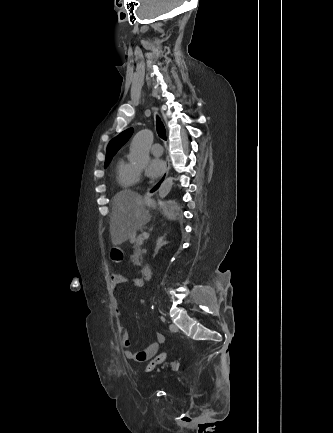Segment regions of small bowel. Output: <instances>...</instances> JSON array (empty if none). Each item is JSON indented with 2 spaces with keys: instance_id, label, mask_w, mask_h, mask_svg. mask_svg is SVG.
Instances as JSON below:
<instances>
[{
  "instance_id": "c3829d8e",
  "label": "small bowel",
  "mask_w": 333,
  "mask_h": 433,
  "mask_svg": "<svg viewBox=\"0 0 333 433\" xmlns=\"http://www.w3.org/2000/svg\"><path fill=\"white\" fill-rule=\"evenodd\" d=\"M110 282L112 289L115 292L118 287L123 283L129 282L134 286H139L142 280L140 278H131L120 273H112L110 277ZM114 311L117 316L121 315V309L117 301L114 305ZM120 337L121 345L124 348V356L126 357V359L138 363L152 360L158 353L160 345L165 342V336L162 333H156L153 341L149 345H147V347H145L141 351H134L132 349V342L129 333L122 326L120 327ZM177 366V363L173 364V368H177Z\"/></svg>"
}]
</instances>
